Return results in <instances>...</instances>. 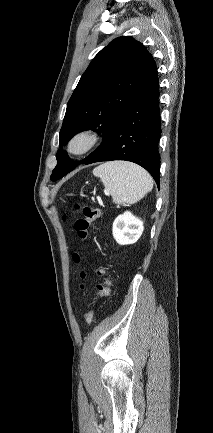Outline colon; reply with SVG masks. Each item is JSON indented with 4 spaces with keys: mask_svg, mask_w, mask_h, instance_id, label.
<instances>
[{
    "mask_svg": "<svg viewBox=\"0 0 213 433\" xmlns=\"http://www.w3.org/2000/svg\"><path fill=\"white\" fill-rule=\"evenodd\" d=\"M76 209H81L83 217L78 219L74 224V229L81 240H88L90 237V228L93 222L100 216V210L91 205L75 204ZM74 260L80 262L79 255H74ZM97 275L100 277L101 282L96 285V295L98 299L107 297L110 294L111 278L109 270L104 266L97 268ZM81 278L86 277V271L82 270ZM83 285L81 284L80 287ZM94 319V308L91 307L84 315V320L87 324H91Z\"/></svg>",
    "mask_w": 213,
    "mask_h": 433,
    "instance_id": "colon-1",
    "label": "colon"
}]
</instances>
